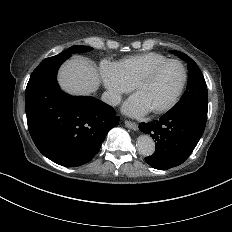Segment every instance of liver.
Masks as SVG:
<instances>
[{"mask_svg":"<svg viewBox=\"0 0 232 232\" xmlns=\"http://www.w3.org/2000/svg\"><path fill=\"white\" fill-rule=\"evenodd\" d=\"M60 81L67 90L86 94L97 88L98 76L90 63L75 58L62 68Z\"/></svg>","mask_w":232,"mask_h":232,"instance_id":"liver-1","label":"liver"}]
</instances>
